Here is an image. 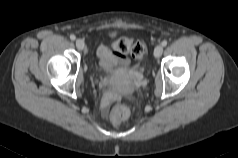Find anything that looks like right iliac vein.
<instances>
[{"label": "right iliac vein", "instance_id": "right-iliac-vein-1", "mask_svg": "<svg viewBox=\"0 0 238 158\" xmlns=\"http://www.w3.org/2000/svg\"><path fill=\"white\" fill-rule=\"evenodd\" d=\"M75 44H76V47L79 49V50H83L84 49V46H85V43L82 39H77L75 41Z\"/></svg>", "mask_w": 238, "mask_h": 158}]
</instances>
